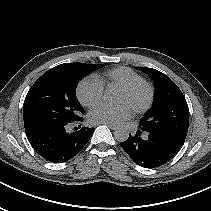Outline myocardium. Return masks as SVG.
Wrapping results in <instances>:
<instances>
[{
    "mask_svg": "<svg viewBox=\"0 0 211 211\" xmlns=\"http://www.w3.org/2000/svg\"><path fill=\"white\" fill-rule=\"evenodd\" d=\"M121 90L128 95H135L141 90H145L147 95L144 101L134 104L131 109L135 113H143L151 108L155 99V89L149 82L142 80L132 84L121 87Z\"/></svg>",
    "mask_w": 211,
    "mask_h": 211,
    "instance_id": "1",
    "label": "myocardium"
}]
</instances>
